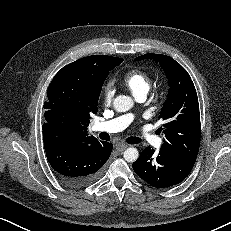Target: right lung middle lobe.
I'll return each mask as SVG.
<instances>
[{"instance_id":"right-lung-middle-lobe-1","label":"right lung middle lobe","mask_w":231,"mask_h":231,"mask_svg":"<svg viewBox=\"0 0 231 231\" xmlns=\"http://www.w3.org/2000/svg\"><path fill=\"white\" fill-rule=\"evenodd\" d=\"M122 62V58L109 57L97 73L89 64L77 61L63 67L49 85L44 103L45 116L66 118L71 113L89 114L98 103L109 71Z\"/></svg>"}]
</instances>
